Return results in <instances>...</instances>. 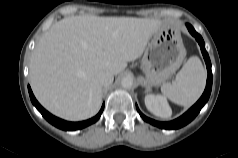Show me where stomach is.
<instances>
[{"mask_svg":"<svg viewBox=\"0 0 238 158\" xmlns=\"http://www.w3.org/2000/svg\"><path fill=\"white\" fill-rule=\"evenodd\" d=\"M186 49L180 33L167 24H160L153 33L143 58L141 69L143 85L158 86L169 79L182 65Z\"/></svg>","mask_w":238,"mask_h":158,"instance_id":"1","label":"stomach"}]
</instances>
